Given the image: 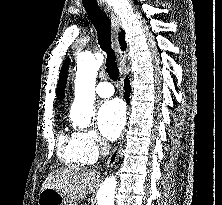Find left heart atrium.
I'll return each mask as SVG.
<instances>
[{
	"mask_svg": "<svg viewBox=\"0 0 222 205\" xmlns=\"http://www.w3.org/2000/svg\"><path fill=\"white\" fill-rule=\"evenodd\" d=\"M97 121L100 132L105 138L109 140L117 139L126 121L123 103L118 99L103 103L98 110Z\"/></svg>",
	"mask_w": 222,
	"mask_h": 205,
	"instance_id": "1",
	"label": "left heart atrium"
}]
</instances>
